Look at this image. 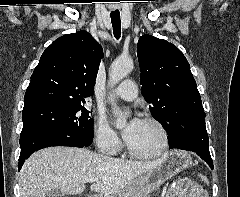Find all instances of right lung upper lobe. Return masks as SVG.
<instances>
[{"mask_svg": "<svg viewBox=\"0 0 240 197\" xmlns=\"http://www.w3.org/2000/svg\"><path fill=\"white\" fill-rule=\"evenodd\" d=\"M103 51L86 31L66 34L43 52L24 97V110L48 104H83L93 95Z\"/></svg>", "mask_w": 240, "mask_h": 197, "instance_id": "1", "label": "right lung upper lobe"}]
</instances>
